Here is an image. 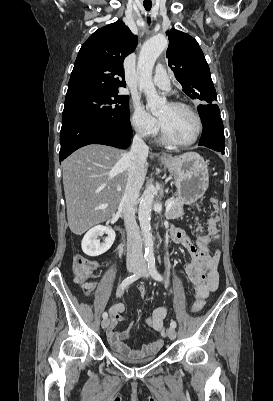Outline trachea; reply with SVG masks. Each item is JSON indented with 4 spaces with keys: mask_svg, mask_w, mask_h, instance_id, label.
Here are the masks:
<instances>
[{
    "mask_svg": "<svg viewBox=\"0 0 273 401\" xmlns=\"http://www.w3.org/2000/svg\"><path fill=\"white\" fill-rule=\"evenodd\" d=\"M144 7H145V10L149 11L151 9L152 5H144Z\"/></svg>",
    "mask_w": 273,
    "mask_h": 401,
    "instance_id": "trachea-1",
    "label": "trachea"
}]
</instances>
